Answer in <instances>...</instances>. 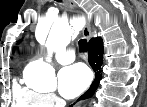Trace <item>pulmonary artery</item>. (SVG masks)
<instances>
[{
    "label": "pulmonary artery",
    "mask_w": 147,
    "mask_h": 107,
    "mask_svg": "<svg viewBox=\"0 0 147 107\" xmlns=\"http://www.w3.org/2000/svg\"><path fill=\"white\" fill-rule=\"evenodd\" d=\"M56 60L60 64H68L75 60V55L72 50H62L56 54Z\"/></svg>",
    "instance_id": "1"
}]
</instances>
